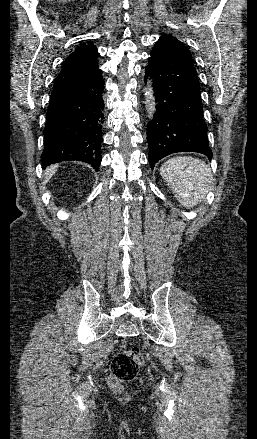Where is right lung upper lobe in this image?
<instances>
[{"mask_svg":"<svg viewBox=\"0 0 257 439\" xmlns=\"http://www.w3.org/2000/svg\"><path fill=\"white\" fill-rule=\"evenodd\" d=\"M97 55V48L91 42L83 43L64 61L54 87L78 80L98 69Z\"/></svg>","mask_w":257,"mask_h":439,"instance_id":"cb5924a9","label":"right lung upper lobe"}]
</instances>
